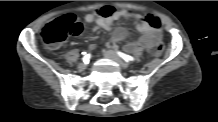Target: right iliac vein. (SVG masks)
I'll return each mask as SVG.
<instances>
[{"label": "right iliac vein", "instance_id": "right-iliac-vein-1", "mask_svg": "<svg viewBox=\"0 0 218 122\" xmlns=\"http://www.w3.org/2000/svg\"><path fill=\"white\" fill-rule=\"evenodd\" d=\"M77 68H78L80 71H83V70H85V68H86V64H85V63H79L78 66H77Z\"/></svg>", "mask_w": 218, "mask_h": 122}]
</instances>
